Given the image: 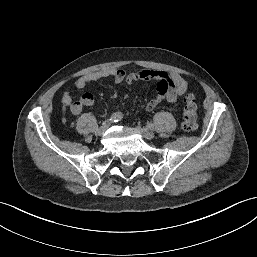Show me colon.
Masks as SVG:
<instances>
[{"instance_id": "colon-1", "label": "colon", "mask_w": 257, "mask_h": 257, "mask_svg": "<svg viewBox=\"0 0 257 257\" xmlns=\"http://www.w3.org/2000/svg\"><path fill=\"white\" fill-rule=\"evenodd\" d=\"M198 126L197 106L192 96L187 95L184 100V111L182 129L185 132H192Z\"/></svg>"}]
</instances>
